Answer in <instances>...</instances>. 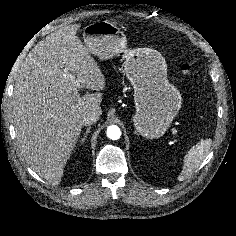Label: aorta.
<instances>
[{"label": "aorta", "mask_w": 236, "mask_h": 236, "mask_svg": "<svg viewBox=\"0 0 236 236\" xmlns=\"http://www.w3.org/2000/svg\"><path fill=\"white\" fill-rule=\"evenodd\" d=\"M121 136V130L117 125H111L107 128V137L111 140H118Z\"/></svg>", "instance_id": "1"}]
</instances>
